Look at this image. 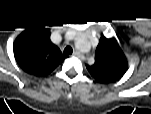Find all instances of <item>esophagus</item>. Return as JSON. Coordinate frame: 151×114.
<instances>
[{
	"mask_svg": "<svg viewBox=\"0 0 151 114\" xmlns=\"http://www.w3.org/2000/svg\"><path fill=\"white\" fill-rule=\"evenodd\" d=\"M73 55L80 58V59H84V55L81 52L77 51V50L74 51Z\"/></svg>",
	"mask_w": 151,
	"mask_h": 114,
	"instance_id": "1",
	"label": "esophagus"
}]
</instances>
